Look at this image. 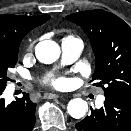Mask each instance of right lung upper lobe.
<instances>
[{
  "instance_id": "cb5924a9",
  "label": "right lung upper lobe",
  "mask_w": 131,
  "mask_h": 131,
  "mask_svg": "<svg viewBox=\"0 0 131 131\" xmlns=\"http://www.w3.org/2000/svg\"><path fill=\"white\" fill-rule=\"evenodd\" d=\"M50 16H0V42L12 43L22 40L35 27L45 23Z\"/></svg>"
}]
</instances>
